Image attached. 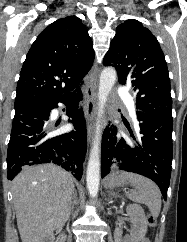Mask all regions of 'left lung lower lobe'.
Returning <instances> with one entry per match:
<instances>
[{"label":"left lung lower lobe","mask_w":187,"mask_h":242,"mask_svg":"<svg viewBox=\"0 0 187 242\" xmlns=\"http://www.w3.org/2000/svg\"><path fill=\"white\" fill-rule=\"evenodd\" d=\"M139 130L129 138H118L117 128H106L102 137L101 177L120 169L152 179L166 200L173 157L170 118L137 110Z\"/></svg>","instance_id":"0a47b994"}]
</instances>
